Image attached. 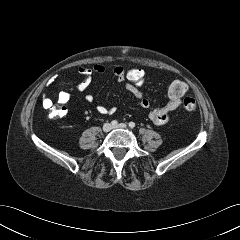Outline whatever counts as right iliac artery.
I'll use <instances>...</instances> for the list:
<instances>
[{"mask_svg": "<svg viewBox=\"0 0 240 240\" xmlns=\"http://www.w3.org/2000/svg\"><path fill=\"white\" fill-rule=\"evenodd\" d=\"M111 124H112L113 126H116V125L118 124V122H117L116 120H113V121L111 122Z\"/></svg>", "mask_w": 240, "mask_h": 240, "instance_id": "82829eb1", "label": "right iliac artery"}]
</instances>
